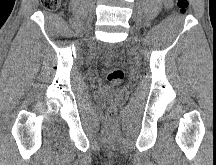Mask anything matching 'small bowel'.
<instances>
[{"mask_svg": "<svg viewBox=\"0 0 216 165\" xmlns=\"http://www.w3.org/2000/svg\"><path fill=\"white\" fill-rule=\"evenodd\" d=\"M166 7H171L173 0H163Z\"/></svg>", "mask_w": 216, "mask_h": 165, "instance_id": "1", "label": "small bowel"}]
</instances>
